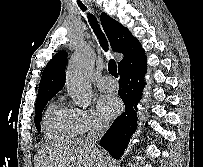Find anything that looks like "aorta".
I'll list each match as a JSON object with an SVG mask.
<instances>
[{
	"mask_svg": "<svg viewBox=\"0 0 203 167\" xmlns=\"http://www.w3.org/2000/svg\"><path fill=\"white\" fill-rule=\"evenodd\" d=\"M96 55L86 46H81L71 57L67 72V90L78 105H88L92 98L91 75Z\"/></svg>",
	"mask_w": 203,
	"mask_h": 167,
	"instance_id": "762f6f07",
	"label": "aorta"
}]
</instances>
